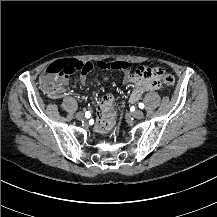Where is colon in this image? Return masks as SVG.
Segmentation results:
<instances>
[{
  "instance_id": "obj_1",
  "label": "colon",
  "mask_w": 217,
  "mask_h": 217,
  "mask_svg": "<svg viewBox=\"0 0 217 217\" xmlns=\"http://www.w3.org/2000/svg\"><path fill=\"white\" fill-rule=\"evenodd\" d=\"M107 69L110 71H127L131 65L127 61H95L94 63L78 62L77 57L69 56L67 59H61L50 64L43 71L40 78V87L51 97H58L67 86V79L64 75L74 73H89L93 68ZM165 70L159 67H148L140 65L134 72V78L138 86L152 89L159 86L158 76ZM164 85L172 87L175 84V78L171 74L163 77Z\"/></svg>"
}]
</instances>
